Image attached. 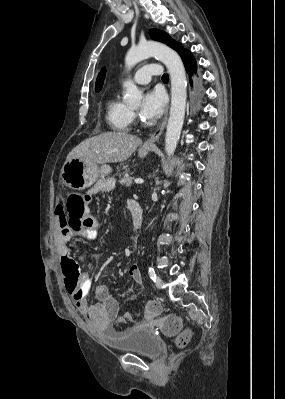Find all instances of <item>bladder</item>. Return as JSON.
Listing matches in <instances>:
<instances>
[{"instance_id":"31cf9c89","label":"bladder","mask_w":285,"mask_h":399,"mask_svg":"<svg viewBox=\"0 0 285 399\" xmlns=\"http://www.w3.org/2000/svg\"><path fill=\"white\" fill-rule=\"evenodd\" d=\"M105 345L115 351L156 357L162 350L155 335L144 327H133L123 333H104Z\"/></svg>"}]
</instances>
